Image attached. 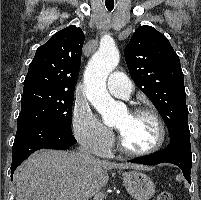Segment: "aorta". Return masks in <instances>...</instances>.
Returning <instances> with one entry per match:
<instances>
[{"label":"aorta","mask_w":201,"mask_h":200,"mask_svg":"<svg viewBox=\"0 0 201 200\" xmlns=\"http://www.w3.org/2000/svg\"><path fill=\"white\" fill-rule=\"evenodd\" d=\"M119 59V51L114 42H102L84 72L87 98L102 115L106 125L114 124L118 119L117 103L107 91L106 80L118 65Z\"/></svg>","instance_id":"obj_1"}]
</instances>
